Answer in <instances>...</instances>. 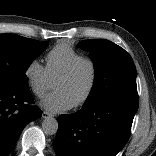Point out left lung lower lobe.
<instances>
[{
  "mask_svg": "<svg viewBox=\"0 0 156 156\" xmlns=\"http://www.w3.org/2000/svg\"><path fill=\"white\" fill-rule=\"evenodd\" d=\"M138 103L108 99L60 115L53 142L56 155L116 156L129 139Z\"/></svg>",
  "mask_w": 156,
  "mask_h": 156,
  "instance_id": "1",
  "label": "left lung lower lobe"
}]
</instances>
